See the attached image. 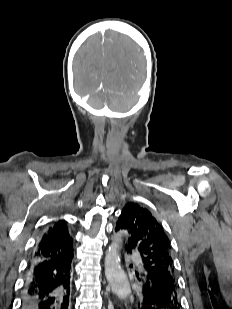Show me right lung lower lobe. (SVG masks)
<instances>
[{
    "instance_id": "right-lung-lower-lobe-1",
    "label": "right lung lower lobe",
    "mask_w": 232,
    "mask_h": 309,
    "mask_svg": "<svg viewBox=\"0 0 232 309\" xmlns=\"http://www.w3.org/2000/svg\"><path fill=\"white\" fill-rule=\"evenodd\" d=\"M73 253L67 258L31 259L23 287V309H71Z\"/></svg>"
}]
</instances>
